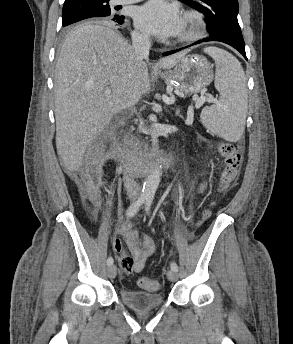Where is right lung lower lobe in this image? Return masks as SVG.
Segmentation results:
<instances>
[{
  "mask_svg": "<svg viewBox=\"0 0 293 344\" xmlns=\"http://www.w3.org/2000/svg\"><path fill=\"white\" fill-rule=\"evenodd\" d=\"M101 20H105V21H113L115 23H118V24H123L124 23V16H119V15H115V16H112V17H103V18H100Z\"/></svg>",
  "mask_w": 293,
  "mask_h": 344,
  "instance_id": "98d812e1",
  "label": "right lung lower lobe"
}]
</instances>
